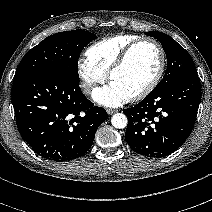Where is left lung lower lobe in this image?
<instances>
[{
	"instance_id": "0a47b994",
	"label": "left lung lower lobe",
	"mask_w": 212,
	"mask_h": 212,
	"mask_svg": "<svg viewBox=\"0 0 212 212\" xmlns=\"http://www.w3.org/2000/svg\"><path fill=\"white\" fill-rule=\"evenodd\" d=\"M201 100L198 75L154 89L135 107L125 109V139L133 151L161 158L176 151L190 135Z\"/></svg>"
}]
</instances>
